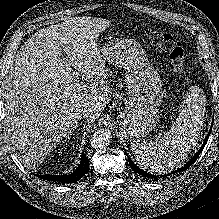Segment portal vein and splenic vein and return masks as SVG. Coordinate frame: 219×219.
I'll use <instances>...</instances> for the list:
<instances>
[{"instance_id": "portal-vein-and-splenic-vein-1", "label": "portal vein and splenic vein", "mask_w": 219, "mask_h": 219, "mask_svg": "<svg viewBox=\"0 0 219 219\" xmlns=\"http://www.w3.org/2000/svg\"><path fill=\"white\" fill-rule=\"evenodd\" d=\"M73 76H74V78L79 79L78 74L74 73Z\"/></svg>"}]
</instances>
